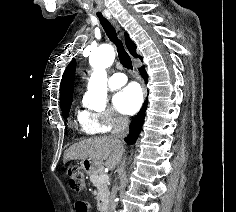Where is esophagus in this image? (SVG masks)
Wrapping results in <instances>:
<instances>
[{"label":"esophagus","mask_w":236,"mask_h":212,"mask_svg":"<svg viewBox=\"0 0 236 212\" xmlns=\"http://www.w3.org/2000/svg\"><path fill=\"white\" fill-rule=\"evenodd\" d=\"M108 18L111 20V22L114 24V26L116 27V29L118 31H120V36L123 35L121 29H120V26L118 25V23L116 22V20L114 18H112L111 16H108Z\"/></svg>","instance_id":"esophagus-1"}]
</instances>
